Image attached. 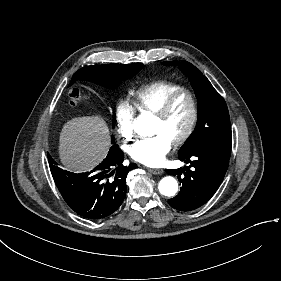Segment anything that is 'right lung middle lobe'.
Returning a JSON list of instances; mask_svg holds the SVG:
<instances>
[{"label": "right lung middle lobe", "mask_w": 281, "mask_h": 281, "mask_svg": "<svg viewBox=\"0 0 281 281\" xmlns=\"http://www.w3.org/2000/svg\"><path fill=\"white\" fill-rule=\"evenodd\" d=\"M143 67L142 63L87 66L79 69L73 75L72 80H88L104 87L114 88L121 81L135 75ZM51 162H53L52 159Z\"/></svg>", "instance_id": "obj_1"}]
</instances>
